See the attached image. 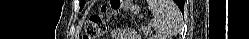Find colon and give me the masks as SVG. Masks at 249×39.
I'll return each instance as SVG.
<instances>
[{"instance_id":"colon-1","label":"colon","mask_w":249,"mask_h":39,"mask_svg":"<svg viewBox=\"0 0 249 39\" xmlns=\"http://www.w3.org/2000/svg\"><path fill=\"white\" fill-rule=\"evenodd\" d=\"M116 2L112 3L113 9H117ZM109 7L103 5L100 13L93 14L85 22L83 39H99L102 38L108 31L109 19L106 16Z\"/></svg>"}]
</instances>
